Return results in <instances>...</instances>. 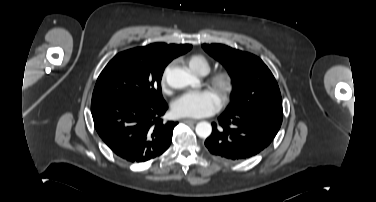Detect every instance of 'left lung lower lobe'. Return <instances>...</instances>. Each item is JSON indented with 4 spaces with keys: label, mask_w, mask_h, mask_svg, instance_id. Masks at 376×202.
Wrapping results in <instances>:
<instances>
[{
    "label": "left lung lower lobe",
    "mask_w": 376,
    "mask_h": 202,
    "mask_svg": "<svg viewBox=\"0 0 376 202\" xmlns=\"http://www.w3.org/2000/svg\"><path fill=\"white\" fill-rule=\"evenodd\" d=\"M281 123V118L264 112H224L218 123H212L213 131L205 145L213 155L234 161L247 159L272 143Z\"/></svg>",
    "instance_id": "obj_1"
}]
</instances>
